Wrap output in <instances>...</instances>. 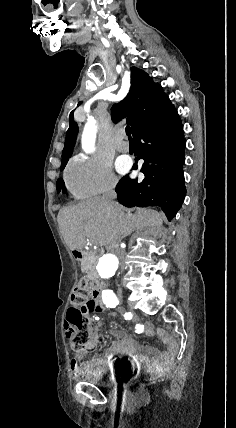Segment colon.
Masks as SVG:
<instances>
[{
    "mask_svg": "<svg viewBox=\"0 0 236 428\" xmlns=\"http://www.w3.org/2000/svg\"><path fill=\"white\" fill-rule=\"evenodd\" d=\"M70 301L71 306L64 324L70 346L78 352L92 351L97 346L98 337L90 316L102 311V307L93 298L86 280H81L74 286Z\"/></svg>",
    "mask_w": 236,
    "mask_h": 428,
    "instance_id": "1",
    "label": "colon"
}]
</instances>
